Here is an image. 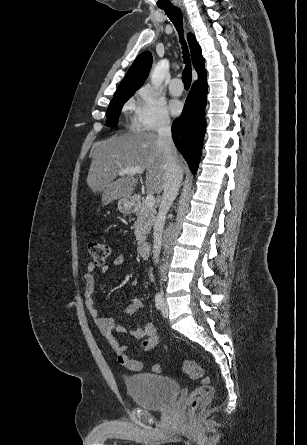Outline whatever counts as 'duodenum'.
Returning a JSON list of instances; mask_svg holds the SVG:
<instances>
[{"mask_svg": "<svg viewBox=\"0 0 307 445\" xmlns=\"http://www.w3.org/2000/svg\"><path fill=\"white\" fill-rule=\"evenodd\" d=\"M140 201L139 197H134L133 198V203H138ZM151 250V244L149 242H142L139 246H138V253L141 257H148L149 253Z\"/></svg>", "mask_w": 307, "mask_h": 445, "instance_id": "obj_1", "label": "duodenum"}]
</instances>
